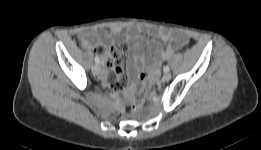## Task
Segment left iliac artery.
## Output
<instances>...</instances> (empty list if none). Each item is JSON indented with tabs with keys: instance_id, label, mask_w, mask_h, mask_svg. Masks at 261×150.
<instances>
[{
	"instance_id": "44dca946",
	"label": "left iliac artery",
	"mask_w": 261,
	"mask_h": 150,
	"mask_svg": "<svg viewBox=\"0 0 261 150\" xmlns=\"http://www.w3.org/2000/svg\"><path fill=\"white\" fill-rule=\"evenodd\" d=\"M163 70H164V72L166 73V72H169L170 68H169V66H165V67L163 68Z\"/></svg>"
}]
</instances>
